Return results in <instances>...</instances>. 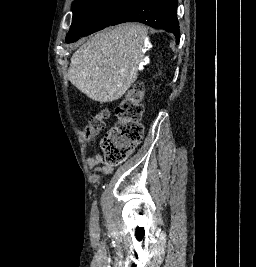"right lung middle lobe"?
<instances>
[{"label":"right lung middle lobe","mask_w":256,"mask_h":267,"mask_svg":"<svg viewBox=\"0 0 256 267\" xmlns=\"http://www.w3.org/2000/svg\"><path fill=\"white\" fill-rule=\"evenodd\" d=\"M139 0H75L72 4L73 19L66 42L77 41L110 26Z\"/></svg>","instance_id":"1"}]
</instances>
